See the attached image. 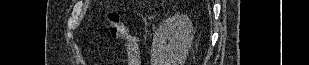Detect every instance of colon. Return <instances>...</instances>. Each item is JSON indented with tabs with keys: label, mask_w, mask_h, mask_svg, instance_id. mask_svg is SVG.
I'll use <instances>...</instances> for the list:
<instances>
[{
	"label": "colon",
	"mask_w": 309,
	"mask_h": 65,
	"mask_svg": "<svg viewBox=\"0 0 309 65\" xmlns=\"http://www.w3.org/2000/svg\"><path fill=\"white\" fill-rule=\"evenodd\" d=\"M105 26L110 36L115 40H121L128 35L126 27L117 13H110L105 19Z\"/></svg>",
	"instance_id": "5ec220e1"
}]
</instances>
